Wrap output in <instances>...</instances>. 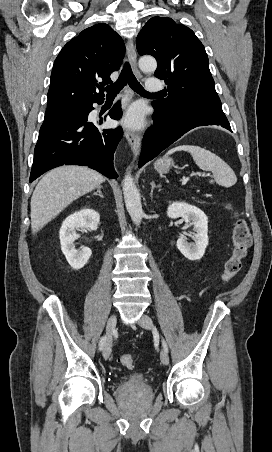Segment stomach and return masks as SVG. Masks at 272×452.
<instances>
[{"instance_id": "1", "label": "stomach", "mask_w": 272, "mask_h": 452, "mask_svg": "<svg viewBox=\"0 0 272 452\" xmlns=\"http://www.w3.org/2000/svg\"><path fill=\"white\" fill-rule=\"evenodd\" d=\"M172 165L173 160L171 158L163 157L155 162L154 167L157 170V172L163 174L167 173Z\"/></svg>"}]
</instances>
